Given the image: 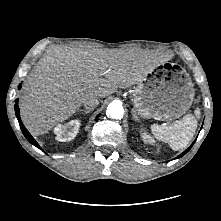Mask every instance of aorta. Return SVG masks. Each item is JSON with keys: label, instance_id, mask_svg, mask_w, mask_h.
<instances>
[{"label": "aorta", "instance_id": "762f6f07", "mask_svg": "<svg viewBox=\"0 0 221 221\" xmlns=\"http://www.w3.org/2000/svg\"><path fill=\"white\" fill-rule=\"evenodd\" d=\"M107 115L113 119H120L124 115V109L121 103L113 101L107 107Z\"/></svg>", "mask_w": 221, "mask_h": 221}]
</instances>
